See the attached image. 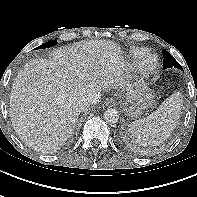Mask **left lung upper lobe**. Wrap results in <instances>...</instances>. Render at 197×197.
Returning a JSON list of instances; mask_svg holds the SVG:
<instances>
[{
  "label": "left lung upper lobe",
  "mask_w": 197,
  "mask_h": 197,
  "mask_svg": "<svg viewBox=\"0 0 197 197\" xmlns=\"http://www.w3.org/2000/svg\"><path fill=\"white\" fill-rule=\"evenodd\" d=\"M163 56H164V60H163L164 69L170 68V67H176V68H180L181 70H183L181 65L167 51L163 50Z\"/></svg>",
  "instance_id": "left-lung-upper-lobe-1"
}]
</instances>
